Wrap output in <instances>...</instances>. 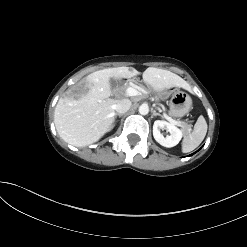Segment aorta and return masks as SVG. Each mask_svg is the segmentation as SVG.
<instances>
[{
	"label": "aorta",
	"instance_id": "obj_1",
	"mask_svg": "<svg viewBox=\"0 0 247 247\" xmlns=\"http://www.w3.org/2000/svg\"><path fill=\"white\" fill-rule=\"evenodd\" d=\"M139 113L141 115H147L149 113V107L147 104H142L140 107H139Z\"/></svg>",
	"mask_w": 247,
	"mask_h": 247
}]
</instances>
